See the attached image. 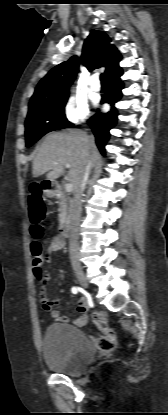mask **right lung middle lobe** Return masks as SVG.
<instances>
[{
    "label": "right lung middle lobe",
    "mask_w": 168,
    "mask_h": 415,
    "mask_svg": "<svg viewBox=\"0 0 168 415\" xmlns=\"http://www.w3.org/2000/svg\"><path fill=\"white\" fill-rule=\"evenodd\" d=\"M68 97L31 109L25 122L26 146L30 147L50 131L73 126L64 113Z\"/></svg>",
    "instance_id": "right-lung-middle-lobe-1"
}]
</instances>
